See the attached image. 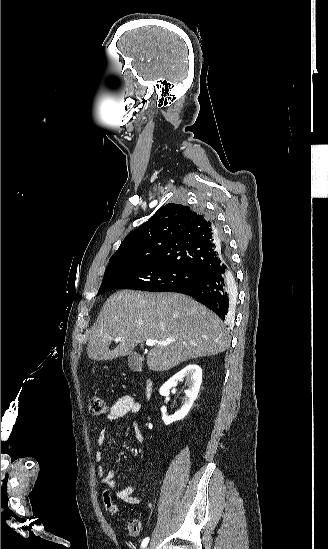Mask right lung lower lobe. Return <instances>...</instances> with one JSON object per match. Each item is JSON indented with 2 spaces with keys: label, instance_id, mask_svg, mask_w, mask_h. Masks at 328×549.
<instances>
[{
  "label": "right lung lower lobe",
  "instance_id": "98d812e1",
  "mask_svg": "<svg viewBox=\"0 0 328 549\" xmlns=\"http://www.w3.org/2000/svg\"><path fill=\"white\" fill-rule=\"evenodd\" d=\"M170 291L197 298L222 320H227L229 318L230 295L235 292V282L229 268L228 257L217 269L202 274L199 279Z\"/></svg>",
  "mask_w": 328,
  "mask_h": 549
}]
</instances>
